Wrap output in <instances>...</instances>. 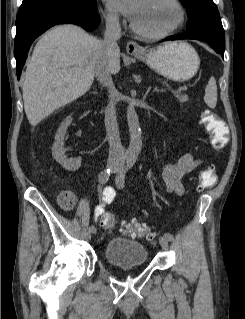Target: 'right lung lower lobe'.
Returning a JSON list of instances; mask_svg holds the SVG:
<instances>
[{"instance_id":"right-lung-lower-lobe-1","label":"right lung lower lobe","mask_w":245,"mask_h":319,"mask_svg":"<svg viewBox=\"0 0 245 319\" xmlns=\"http://www.w3.org/2000/svg\"><path fill=\"white\" fill-rule=\"evenodd\" d=\"M100 16L96 14V2L88 6L55 3L19 10L16 18L14 56L16 73L20 78L32 42L48 28L56 24L74 23L87 31L96 29Z\"/></svg>"}]
</instances>
